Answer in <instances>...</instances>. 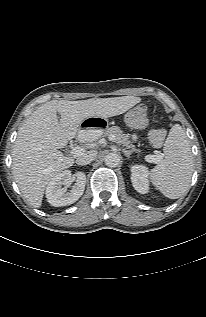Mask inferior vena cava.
<instances>
[{"label":"inferior vena cava","mask_w":206,"mask_h":317,"mask_svg":"<svg viewBox=\"0 0 206 317\" xmlns=\"http://www.w3.org/2000/svg\"><path fill=\"white\" fill-rule=\"evenodd\" d=\"M97 157V152L96 151H89L86 153H82L79 155L76 159V163L78 165H87L90 164L95 158Z\"/></svg>","instance_id":"obj_1"}]
</instances>
